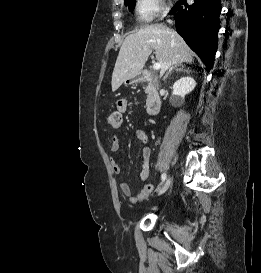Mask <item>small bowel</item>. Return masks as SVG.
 I'll return each mask as SVG.
<instances>
[{"label": "small bowel", "instance_id": "small-bowel-1", "mask_svg": "<svg viewBox=\"0 0 261 273\" xmlns=\"http://www.w3.org/2000/svg\"><path fill=\"white\" fill-rule=\"evenodd\" d=\"M127 110V102L124 100H120L116 104V111L120 113H124ZM136 136L138 142L143 146L142 157H141V171H140V179L146 180L149 176L150 171V149L146 146L149 139V134L143 130H137ZM120 149V141L117 136H114L111 141V151L113 153L118 152ZM110 164L112 170L115 174H119L121 172V166L118 161L114 158L110 160ZM120 191L129 198L131 203H138L145 200L148 195L152 192L153 186L151 184H145L142 186L141 190L136 195H132L130 186L125 182L119 183Z\"/></svg>", "mask_w": 261, "mask_h": 273}]
</instances>
